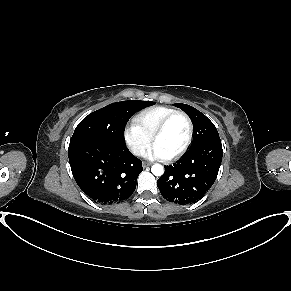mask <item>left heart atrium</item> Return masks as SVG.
<instances>
[{
    "label": "left heart atrium",
    "mask_w": 291,
    "mask_h": 291,
    "mask_svg": "<svg viewBox=\"0 0 291 291\" xmlns=\"http://www.w3.org/2000/svg\"><path fill=\"white\" fill-rule=\"evenodd\" d=\"M143 155L149 159H168L169 155L157 144L148 147Z\"/></svg>",
    "instance_id": "left-heart-atrium-1"
}]
</instances>
